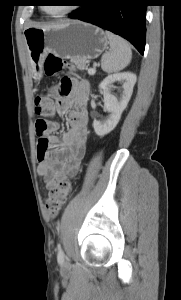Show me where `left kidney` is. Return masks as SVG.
I'll return each mask as SVG.
<instances>
[{"mask_svg":"<svg viewBox=\"0 0 181 300\" xmlns=\"http://www.w3.org/2000/svg\"><path fill=\"white\" fill-rule=\"evenodd\" d=\"M114 82L122 84L121 97L117 99L110 91ZM136 83V75L131 72H122L108 75L100 84L99 88L104 90V105L110 113L105 121H93V128L98 136H104L110 133L118 124L121 114L127 107L131 98L133 87Z\"/></svg>","mask_w":181,"mask_h":300,"instance_id":"obj_1","label":"left kidney"}]
</instances>
